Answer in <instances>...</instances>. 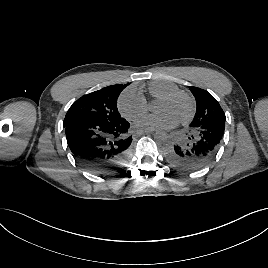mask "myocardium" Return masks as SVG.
Returning <instances> with one entry per match:
<instances>
[{
	"label": "myocardium",
	"mask_w": 268,
	"mask_h": 268,
	"mask_svg": "<svg viewBox=\"0 0 268 268\" xmlns=\"http://www.w3.org/2000/svg\"><path fill=\"white\" fill-rule=\"evenodd\" d=\"M177 97H183L184 99L187 100L188 104H189V110L187 112V114L180 119L178 122V124L184 125L187 124L189 121H191V119L193 118L194 114H195V110H196V106H195V101L193 99V97L186 91L184 90H174L171 91L167 94H165L164 96L160 97L157 102H167L170 100H173Z\"/></svg>",
	"instance_id": "myocardium-1"
}]
</instances>
